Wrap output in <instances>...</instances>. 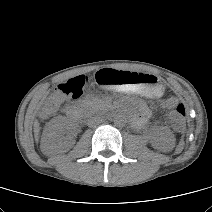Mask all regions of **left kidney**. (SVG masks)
Here are the masks:
<instances>
[{"label": "left kidney", "mask_w": 212, "mask_h": 212, "mask_svg": "<svg viewBox=\"0 0 212 212\" xmlns=\"http://www.w3.org/2000/svg\"><path fill=\"white\" fill-rule=\"evenodd\" d=\"M152 145L160 151L169 152L175 145L174 135L168 130H163L154 136Z\"/></svg>", "instance_id": "5707ae66"}]
</instances>
